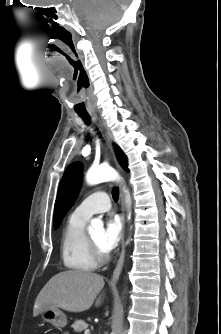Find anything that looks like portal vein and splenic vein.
Here are the masks:
<instances>
[{
  "instance_id": "18ae733b",
  "label": "portal vein and splenic vein",
  "mask_w": 221,
  "mask_h": 334,
  "mask_svg": "<svg viewBox=\"0 0 221 334\" xmlns=\"http://www.w3.org/2000/svg\"><path fill=\"white\" fill-rule=\"evenodd\" d=\"M84 333H85V334H90V330H89V329H86Z\"/></svg>"
}]
</instances>
